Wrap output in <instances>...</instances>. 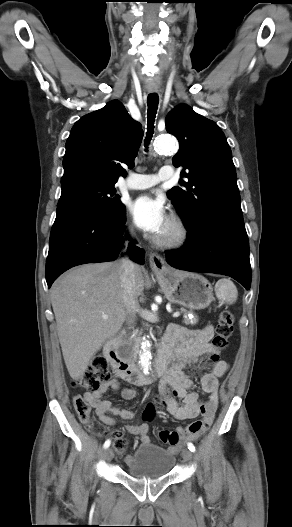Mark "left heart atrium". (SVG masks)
I'll use <instances>...</instances> for the list:
<instances>
[{
  "instance_id": "left-heart-atrium-1",
  "label": "left heart atrium",
  "mask_w": 292,
  "mask_h": 527,
  "mask_svg": "<svg viewBox=\"0 0 292 527\" xmlns=\"http://www.w3.org/2000/svg\"><path fill=\"white\" fill-rule=\"evenodd\" d=\"M130 211L135 224L152 234H161L169 223L162 200L150 195L137 197L132 202Z\"/></svg>"
}]
</instances>
